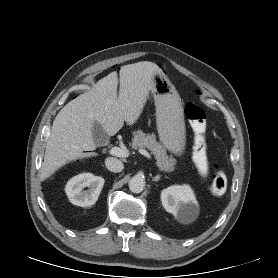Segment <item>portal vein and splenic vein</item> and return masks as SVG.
Masks as SVG:
<instances>
[{
  "mask_svg": "<svg viewBox=\"0 0 278 278\" xmlns=\"http://www.w3.org/2000/svg\"><path fill=\"white\" fill-rule=\"evenodd\" d=\"M109 153L113 156L117 157H128L130 155V152L127 150H124L120 147H112L109 151ZM139 153L147 157L148 159H152L151 155L145 150V149H139Z\"/></svg>",
  "mask_w": 278,
  "mask_h": 278,
  "instance_id": "obj_1",
  "label": "portal vein and splenic vein"
}]
</instances>
